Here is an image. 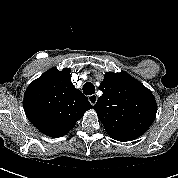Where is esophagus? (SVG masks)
<instances>
[{"label":"esophagus","instance_id":"esophagus-1","mask_svg":"<svg viewBox=\"0 0 178 178\" xmlns=\"http://www.w3.org/2000/svg\"><path fill=\"white\" fill-rule=\"evenodd\" d=\"M88 100L92 106H94L97 102V96L96 95H90L88 96Z\"/></svg>","mask_w":178,"mask_h":178}]
</instances>
